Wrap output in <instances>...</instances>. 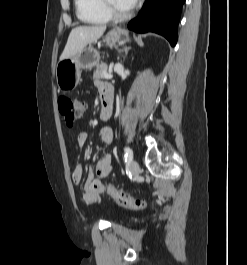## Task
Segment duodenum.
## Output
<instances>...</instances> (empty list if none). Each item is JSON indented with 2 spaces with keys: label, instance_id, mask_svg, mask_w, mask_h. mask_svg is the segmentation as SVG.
Wrapping results in <instances>:
<instances>
[{
  "label": "duodenum",
  "instance_id": "1",
  "mask_svg": "<svg viewBox=\"0 0 247 265\" xmlns=\"http://www.w3.org/2000/svg\"><path fill=\"white\" fill-rule=\"evenodd\" d=\"M102 103L103 108L101 110L100 117L103 120H108L112 115V107H113V94L111 89H106L102 93Z\"/></svg>",
  "mask_w": 247,
  "mask_h": 265
}]
</instances>
